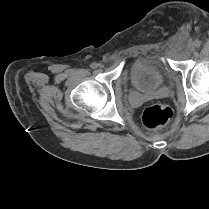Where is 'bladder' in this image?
<instances>
[{"mask_svg": "<svg viewBox=\"0 0 209 209\" xmlns=\"http://www.w3.org/2000/svg\"><path fill=\"white\" fill-rule=\"evenodd\" d=\"M166 76L163 63L156 58L136 61L129 68V78L132 86L146 94L154 93L162 87Z\"/></svg>", "mask_w": 209, "mask_h": 209, "instance_id": "1", "label": "bladder"}]
</instances>
